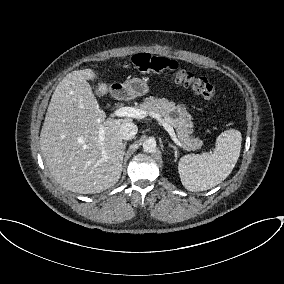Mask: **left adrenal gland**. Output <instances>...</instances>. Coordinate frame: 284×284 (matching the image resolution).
I'll return each instance as SVG.
<instances>
[{
	"mask_svg": "<svg viewBox=\"0 0 284 284\" xmlns=\"http://www.w3.org/2000/svg\"><path fill=\"white\" fill-rule=\"evenodd\" d=\"M169 147H171L174 150V156L177 159V157H178V149H177V147L175 145L171 144V143H169Z\"/></svg>",
	"mask_w": 284,
	"mask_h": 284,
	"instance_id": "left-adrenal-gland-1",
	"label": "left adrenal gland"
}]
</instances>
